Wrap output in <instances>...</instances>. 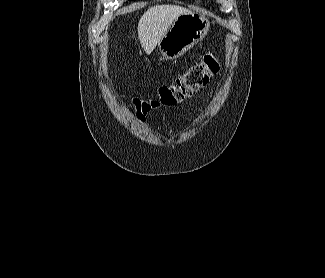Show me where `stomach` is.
Returning <instances> with one entry per match:
<instances>
[{
  "instance_id": "obj_1",
  "label": "stomach",
  "mask_w": 325,
  "mask_h": 278,
  "mask_svg": "<svg viewBox=\"0 0 325 278\" xmlns=\"http://www.w3.org/2000/svg\"><path fill=\"white\" fill-rule=\"evenodd\" d=\"M210 27L208 19L196 12L180 15L169 27L158 43L163 58L177 59L207 35Z\"/></svg>"
}]
</instances>
